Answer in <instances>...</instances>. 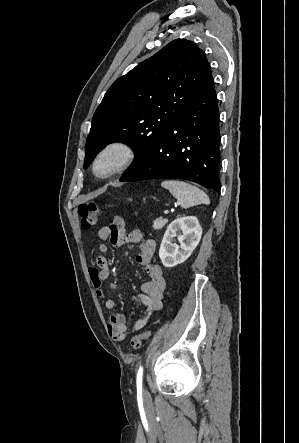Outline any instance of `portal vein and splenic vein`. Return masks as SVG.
<instances>
[{
    "instance_id": "1",
    "label": "portal vein and splenic vein",
    "mask_w": 299,
    "mask_h": 443,
    "mask_svg": "<svg viewBox=\"0 0 299 443\" xmlns=\"http://www.w3.org/2000/svg\"><path fill=\"white\" fill-rule=\"evenodd\" d=\"M164 213H165V214H168V210H165Z\"/></svg>"
}]
</instances>
